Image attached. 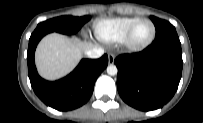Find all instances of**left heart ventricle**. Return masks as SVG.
Listing matches in <instances>:
<instances>
[{
	"label": "left heart ventricle",
	"mask_w": 203,
	"mask_h": 123,
	"mask_svg": "<svg viewBox=\"0 0 203 123\" xmlns=\"http://www.w3.org/2000/svg\"><path fill=\"white\" fill-rule=\"evenodd\" d=\"M153 28L149 22H143L135 29L132 41L135 44H142L146 42L152 35Z\"/></svg>",
	"instance_id": "1"
}]
</instances>
